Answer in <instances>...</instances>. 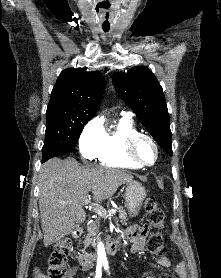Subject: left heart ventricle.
I'll return each mask as SVG.
<instances>
[{"label": "left heart ventricle", "mask_w": 221, "mask_h": 278, "mask_svg": "<svg viewBox=\"0 0 221 278\" xmlns=\"http://www.w3.org/2000/svg\"><path fill=\"white\" fill-rule=\"evenodd\" d=\"M136 153L139 159L144 163H152L155 159V149L146 139H142L138 142Z\"/></svg>", "instance_id": "obj_1"}]
</instances>
